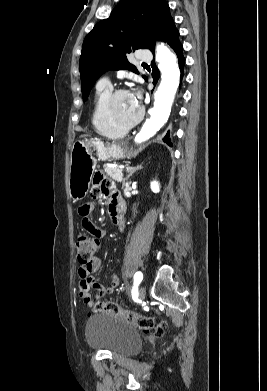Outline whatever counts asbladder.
Returning a JSON list of instances; mask_svg holds the SVG:
<instances>
[{
    "mask_svg": "<svg viewBox=\"0 0 267 391\" xmlns=\"http://www.w3.org/2000/svg\"><path fill=\"white\" fill-rule=\"evenodd\" d=\"M88 346L114 354L132 355L140 351L142 338L129 323L109 313L92 315L85 327Z\"/></svg>",
    "mask_w": 267,
    "mask_h": 391,
    "instance_id": "obj_1",
    "label": "bladder"
}]
</instances>
